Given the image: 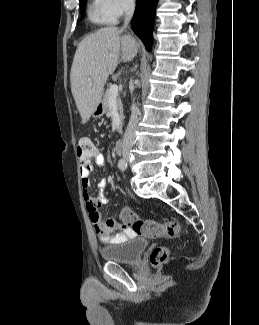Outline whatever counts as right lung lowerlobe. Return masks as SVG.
Listing matches in <instances>:
<instances>
[{
    "label": "right lung lower lobe",
    "mask_w": 259,
    "mask_h": 325,
    "mask_svg": "<svg viewBox=\"0 0 259 325\" xmlns=\"http://www.w3.org/2000/svg\"><path fill=\"white\" fill-rule=\"evenodd\" d=\"M157 2L158 0H137L132 18V29L142 40L147 50L152 47V30Z\"/></svg>",
    "instance_id": "obj_1"
}]
</instances>
